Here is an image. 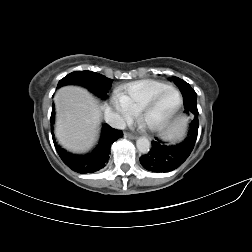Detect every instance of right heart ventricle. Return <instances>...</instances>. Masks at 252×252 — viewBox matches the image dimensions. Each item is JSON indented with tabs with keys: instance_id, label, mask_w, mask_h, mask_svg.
I'll list each match as a JSON object with an SVG mask.
<instances>
[{
	"instance_id": "right-heart-ventricle-1",
	"label": "right heart ventricle",
	"mask_w": 252,
	"mask_h": 252,
	"mask_svg": "<svg viewBox=\"0 0 252 252\" xmlns=\"http://www.w3.org/2000/svg\"><path fill=\"white\" fill-rule=\"evenodd\" d=\"M169 87L164 82L147 79L121 85L116 91L122 93L136 111L150 98Z\"/></svg>"
}]
</instances>
